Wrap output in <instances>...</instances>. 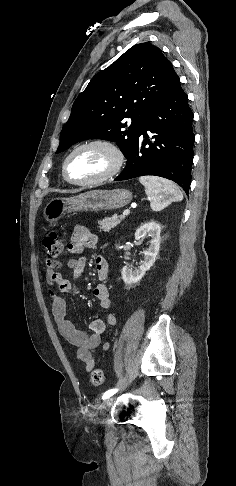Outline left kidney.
I'll return each mask as SVG.
<instances>
[{
    "label": "left kidney",
    "instance_id": "5707ae66",
    "mask_svg": "<svg viewBox=\"0 0 236 486\" xmlns=\"http://www.w3.org/2000/svg\"><path fill=\"white\" fill-rule=\"evenodd\" d=\"M160 233L161 226L155 221H149L136 230L135 239L139 240L142 236L148 234L151 237L150 245L144 251L143 261H141V265L138 268L123 267L121 274L125 284L131 285L138 283L146 271L153 266L160 248Z\"/></svg>",
    "mask_w": 236,
    "mask_h": 486
}]
</instances>
